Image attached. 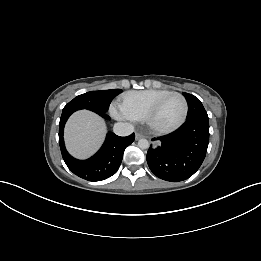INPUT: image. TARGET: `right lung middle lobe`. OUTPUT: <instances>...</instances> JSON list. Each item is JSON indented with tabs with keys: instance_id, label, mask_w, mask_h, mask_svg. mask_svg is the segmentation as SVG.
<instances>
[{
	"instance_id": "dd1d6c3e",
	"label": "right lung middle lobe",
	"mask_w": 261,
	"mask_h": 261,
	"mask_svg": "<svg viewBox=\"0 0 261 261\" xmlns=\"http://www.w3.org/2000/svg\"><path fill=\"white\" fill-rule=\"evenodd\" d=\"M120 92V89L87 92L75 97L64 109H88L96 113H105L113 98Z\"/></svg>"
}]
</instances>
